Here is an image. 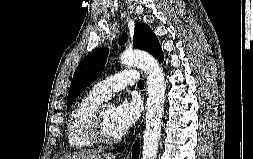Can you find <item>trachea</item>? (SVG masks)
<instances>
[{
  "label": "trachea",
  "mask_w": 253,
  "mask_h": 159,
  "mask_svg": "<svg viewBox=\"0 0 253 159\" xmlns=\"http://www.w3.org/2000/svg\"><path fill=\"white\" fill-rule=\"evenodd\" d=\"M138 87L143 88L144 87V81L143 80H139L137 83Z\"/></svg>",
  "instance_id": "1"
}]
</instances>
